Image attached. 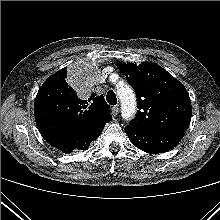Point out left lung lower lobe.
<instances>
[{
  "label": "left lung lower lobe",
  "mask_w": 220,
  "mask_h": 220,
  "mask_svg": "<svg viewBox=\"0 0 220 220\" xmlns=\"http://www.w3.org/2000/svg\"><path fill=\"white\" fill-rule=\"evenodd\" d=\"M125 132L134 146L152 154L171 150L184 136V132H156L139 129L132 125L125 127Z\"/></svg>",
  "instance_id": "1"
}]
</instances>
